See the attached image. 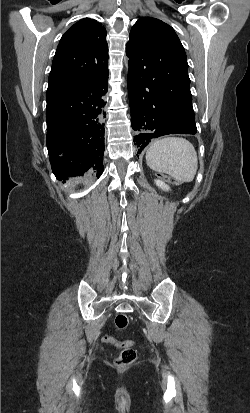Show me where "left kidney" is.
Instances as JSON below:
<instances>
[{
    "label": "left kidney",
    "mask_w": 250,
    "mask_h": 413,
    "mask_svg": "<svg viewBox=\"0 0 250 413\" xmlns=\"http://www.w3.org/2000/svg\"><path fill=\"white\" fill-rule=\"evenodd\" d=\"M156 185L164 191H169L170 187L161 180H155Z\"/></svg>",
    "instance_id": "5707ae66"
}]
</instances>
